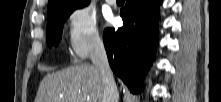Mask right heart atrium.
I'll use <instances>...</instances> for the list:
<instances>
[{
    "mask_svg": "<svg viewBox=\"0 0 221 102\" xmlns=\"http://www.w3.org/2000/svg\"><path fill=\"white\" fill-rule=\"evenodd\" d=\"M67 40L72 54L83 59L102 45L97 16L87 7L74 9L67 22Z\"/></svg>",
    "mask_w": 221,
    "mask_h": 102,
    "instance_id": "1",
    "label": "right heart atrium"
}]
</instances>
